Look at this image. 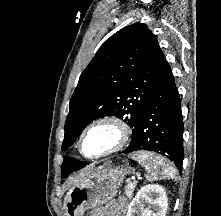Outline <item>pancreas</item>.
<instances>
[{
    "label": "pancreas",
    "mask_w": 221,
    "mask_h": 216,
    "mask_svg": "<svg viewBox=\"0 0 221 216\" xmlns=\"http://www.w3.org/2000/svg\"><path fill=\"white\" fill-rule=\"evenodd\" d=\"M134 189H135V184H134V183H129V184L125 187V194H126V196H127L129 199L132 198Z\"/></svg>",
    "instance_id": "1"
}]
</instances>
